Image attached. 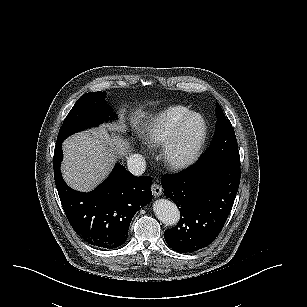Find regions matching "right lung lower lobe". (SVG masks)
Listing matches in <instances>:
<instances>
[{
	"label": "right lung lower lobe",
	"mask_w": 307,
	"mask_h": 307,
	"mask_svg": "<svg viewBox=\"0 0 307 307\" xmlns=\"http://www.w3.org/2000/svg\"><path fill=\"white\" fill-rule=\"evenodd\" d=\"M62 159L61 142L54 150V178L61 204L74 231L98 248L122 246L134 214L152 200V178L135 177L117 164L100 186L90 193H81L64 182L60 172Z\"/></svg>",
	"instance_id": "obj_1"
}]
</instances>
